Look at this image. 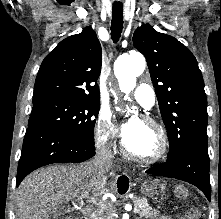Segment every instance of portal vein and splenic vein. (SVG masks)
Instances as JSON below:
<instances>
[{
	"label": "portal vein and splenic vein",
	"mask_w": 221,
	"mask_h": 219,
	"mask_svg": "<svg viewBox=\"0 0 221 219\" xmlns=\"http://www.w3.org/2000/svg\"><path fill=\"white\" fill-rule=\"evenodd\" d=\"M85 197H87V196H85ZM137 211H138V209H135V208H134V213H137Z\"/></svg>",
	"instance_id": "1"
}]
</instances>
